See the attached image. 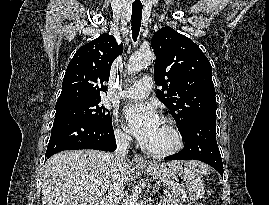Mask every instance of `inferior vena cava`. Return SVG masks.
<instances>
[{
	"label": "inferior vena cava",
	"mask_w": 269,
	"mask_h": 205,
	"mask_svg": "<svg viewBox=\"0 0 269 205\" xmlns=\"http://www.w3.org/2000/svg\"><path fill=\"white\" fill-rule=\"evenodd\" d=\"M117 148L115 152L108 155L112 171L121 176L125 167V158L129 146L130 137L121 131H115ZM124 196V182L120 178L112 181L106 195L100 205H119Z\"/></svg>",
	"instance_id": "1"
}]
</instances>
